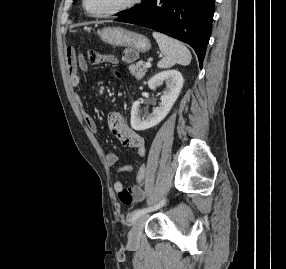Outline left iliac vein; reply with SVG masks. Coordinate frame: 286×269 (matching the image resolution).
Here are the masks:
<instances>
[{
    "mask_svg": "<svg viewBox=\"0 0 286 269\" xmlns=\"http://www.w3.org/2000/svg\"><path fill=\"white\" fill-rule=\"evenodd\" d=\"M145 220H146V215H142L134 222L128 235L129 245L135 246L139 244Z\"/></svg>",
    "mask_w": 286,
    "mask_h": 269,
    "instance_id": "1",
    "label": "left iliac vein"
}]
</instances>
